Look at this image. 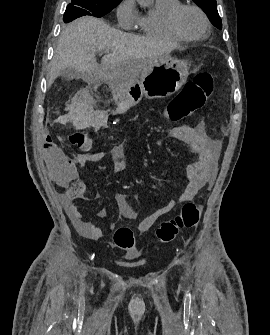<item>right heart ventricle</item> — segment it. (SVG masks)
<instances>
[{"mask_svg": "<svg viewBox=\"0 0 270 335\" xmlns=\"http://www.w3.org/2000/svg\"><path fill=\"white\" fill-rule=\"evenodd\" d=\"M181 4V0H156L155 11L138 14L135 25L148 37L181 42L183 39L170 30L167 21L171 10Z\"/></svg>", "mask_w": 270, "mask_h": 335, "instance_id": "1", "label": "right heart ventricle"}]
</instances>
